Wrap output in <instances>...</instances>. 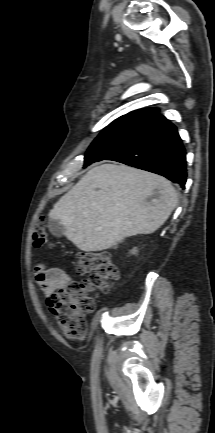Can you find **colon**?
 <instances>
[{"label": "colon", "mask_w": 215, "mask_h": 433, "mask_svg": "<svg viewBox=\"0 0 215 433\" xmlns=\"http://www.w3.org/2000/svg\"><path fill=\"white\" fill-rule=\"evenodd\" d=\"M33 244L36 248L48 244L46 222L40 218L34 227ZM77 272L87 276L83 282L72 283L48 298V307L65 336L84 339L88 329L87 316L95 309V294L107 292L118 278L119 271L108 251L82 253L77 259Z\"/></svg>", "instance_id": "colon-1"}]
</instances>
